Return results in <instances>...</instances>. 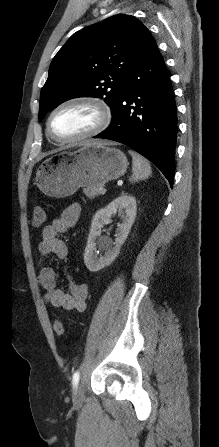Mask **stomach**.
Wrapping results in <instances>:
<instances>
[{
	"label": "stomach",
	"instance_id": "stomach-1",
	"mask_svg": "<svg viewBox=\"0 0 219 447\" xmlns=\"http://www.w3.org/2000/svg\"><path fill=\"white\" fill-rule=\"evenodd\" d=\"M125 154L102 143L90 142L75 151H64L46 159L37 169L36 183L42 193L63 198L80 187L102 186L124 175Z\"/></svg>",
	"mask_w": 219,
	"mask_h": 447
}]
</instances>
